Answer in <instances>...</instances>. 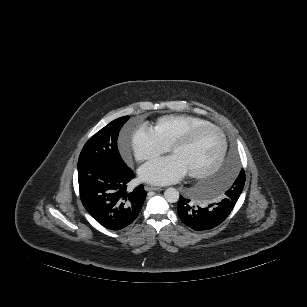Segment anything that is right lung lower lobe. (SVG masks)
I'll use <instances>...</instances> for the list:
<instances>
[{
    "mask_svg": "<svg viewBox=\"0 0 307 307\" xmlns=\"http://www.w3.org/2000/svg\"><path fill=\"white\" fill-rule=\"evenodd\" d=\"M133 171L125 166L112 168L93 164L78 169L80 198L87 212L104 227L120 230L138 216L146 192L143 185L132 192L127 183Z\"/></svg>",
    "mask_w": 307,
    "mask_h": 307,
    "instance_id": "right-lung-lower-lobe-1",
    "label": "right lung lower lobe"
}]
</instances>
